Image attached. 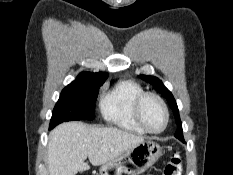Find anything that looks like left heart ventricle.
Wrapping results in <instances>:
<instances>
[{
	"label": "left heart ventricle",
	"instance_id": "left-heart-ventricle-1",
	"mask_svg": "<svg viewBox=\"0 0 233 175\" xmlns=\"http://www.w3.org/2000/svg\"><path fill=\"white\" fill-rule=\"evenodd\" d=\"M142 117L146 125L152 130L161 129L165 122L164 112L154 98H148L143 103Z\"/></svg>",
	"mask_w": 233,
	"mask_h": 175
}]
</instances>
